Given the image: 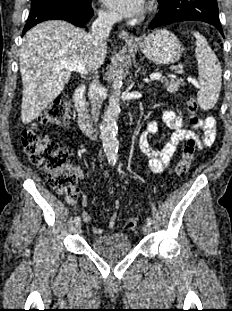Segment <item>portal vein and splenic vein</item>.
<instances>
[{
	"label": "portal vein and splenic vein",
	"instance_id": "1",
	"mask_svg": "<svg viewBox=\"0 0 232 311\" xmlns=\"http://www.w3.org/2000/svg\"><path fill=\"white\" fill-rule=\"evenodd\" d=\"M60 69H66L67 71H76L80 74H87L88 71L85 66L81 63L77 62H70V61H63L59 67ZM177 73H183L182 70L177 71ZM162 76L161 73H153L150 75L151 80H158Z\"/></svg>",
	"mask_w": 232,
	"mask_h": 311
}]
</instances>
